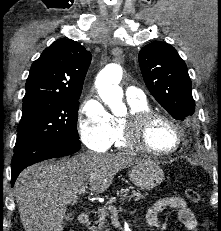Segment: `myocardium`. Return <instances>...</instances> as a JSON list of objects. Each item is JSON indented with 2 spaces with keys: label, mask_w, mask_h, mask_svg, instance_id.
I'll return each instance as SVG.
<instances>
[{
  "label": "myocardium",
  "mask_w": 221,
  "mask_h": 231,
  "mask_svg": "<svg viewBox=\"0 0 221 231\" xmlns=\"http://www.w3.org/2000/svg\"><path fill=\"white\" fill-rule=\"evenodd\" d=\"M157 120L167 122L176 132V144L168 151H156L152 149L147 142L148 129L150 125ZM122 128L123 141L129 149L139 150L157 157H166L177 152L183 141V130L177 121L167 114L154 110H144L136 113H130L128 116L123 118Z\"/></svg>",
  "instance_id": "f54148a6"
}]
</instances>
